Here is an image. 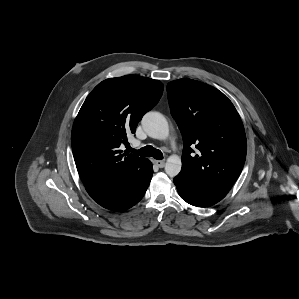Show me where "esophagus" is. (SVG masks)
<instances>
[{
	"label": "esophagus",
	"mask_w": 299,
	"mask_h": 299,
	"mask_svg": "<svg viewBox=\"0 0 299 299\" xmlns=\"http://www.w3.org/2000/svg\"><path fill=\"white\" fill-rule=\"evenodd\" d=\"M153 163L159 168H163L165 166V160H154Z\"/></svg>",
	"instance_id": "34e87169"
}]
</instances>
